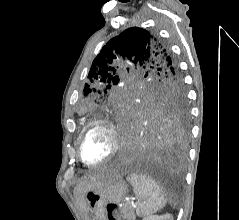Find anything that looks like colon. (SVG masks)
<instances>
[{
    "label": "colon",
    "instance_id": "1",
    "mask_svg": "<svg viewBox=\"0 0 239 220\" xmlns=\"http://www.w3.org/2000/svg\"><path fill=\"white\" fill-rule=\"evenodd\" d=\"M116 204H109L107 207L108 220H119L115 215Z\"/></svg>",
    "mask_w": 239,
    "mask_h": 220
}]
</instances>
